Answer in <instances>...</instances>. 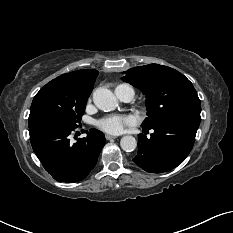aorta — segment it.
<instances>
[{"mask_svg":"<svg viewBox=\"0 0 233 233\" xmlns=\"http://www.w3.org/2000/svg\"><path fill=\"white\" fill-rule=\"evenodd\" d=\"M93 102L95 106L105 112L113 111L118 106V101L115 95L107 88H97L93 92ZM121 148L126 152H132L137 147L136 139L131 135H126L121 138Z\"/></svg>","mask_w":233,"mask_h":233,"instance_id":"1","label":"aorta"}]
</instances>
